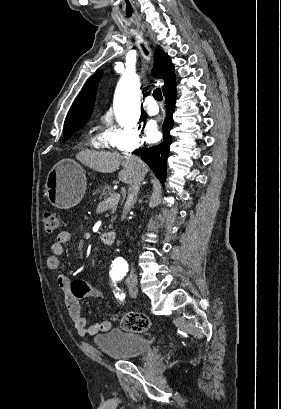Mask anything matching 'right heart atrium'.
Segmentation results:
<instances>
[{"instance_id": "right-heart-atrium-1", "label": "right heart atrium", "mask_w": 281, "mask_h": 409, "mask_svg": "<svg viewBox=\"0 0 281 409\" xmlns=\"http://www.w3.org/2000/svg\"><path fill=\"white\" fill-rule=\"evenodd\" d=\"M113 110V109H112ZM125 120L117 126L112 119H105L107 129L104 132L106 142L110 148L119 150H136L145 143V138L141 136L139 115H122Z\"/></svg>"}]
</instances>
